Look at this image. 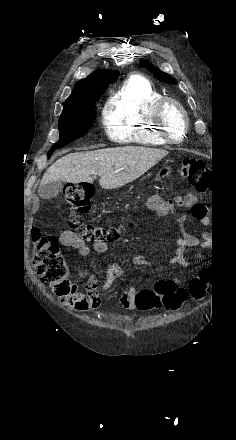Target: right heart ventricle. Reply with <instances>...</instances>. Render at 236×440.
I'll use <instances>...</instances> for the list:
<instances>
[{
  "mask_svg": "<svg viewBox=\"0 0 236 440\" xmlns=\"http://www.w3.org/2000/svg\"><path fill=\"white\" fill-rule=\"evenodd\" d=\"M163 95L142 75L129 76L109 98L103 124L107 137L120 144L162 146L151 118L155 103Z\"/></svg>",
  "mask_w": 236,
  "mask_h": 440,
  "instance_id": "1",
  "label": "right heart ventricle"
}]
</instances>
